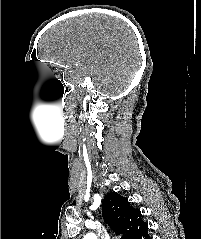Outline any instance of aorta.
<instances>
[{
  "label": "aorta",
  "instance_id": "762f6f07",
  "mask_svg": "<svg viewBox=\"0 0 201 239\" xmlns=\"http://www.w3.org/2000/svg\"><path fill=\"white\" fill-rule=\"evenodd\" d=\"M83 239H97V237L94 233H88Z\"/></svg>",
  "mask_w": 201,
  "mask_h": 239
}]
</instances>
